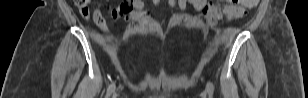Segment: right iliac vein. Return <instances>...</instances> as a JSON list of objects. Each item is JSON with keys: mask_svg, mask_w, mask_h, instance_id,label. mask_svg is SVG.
I'll return each instance as SVG.
<instances>
[{"mask_svg": "<svg viewBox=\"0 0 308 98\" xmlns=\"http://www.w3.org/2000/svg\"><path fill=\"white\" fill-rule=\"evenodd\" d=\"M111 94H115V89L111 92Z\"/></svg>", "mask_w": 308, "mask_h": 98, "instance_id": "obj_1", "label": "right iliac vein"}]
</instances>
